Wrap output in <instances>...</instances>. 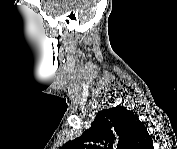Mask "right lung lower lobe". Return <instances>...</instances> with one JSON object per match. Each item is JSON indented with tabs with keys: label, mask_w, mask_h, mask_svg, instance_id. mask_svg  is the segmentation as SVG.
Wrapping results in <instances>:
<instances>
[{
	"label": "right lung lower lobe",
	"mask_w": 177,
	"mask_h": 149,
	"mask_svg": "<svg viewBox=\"0 0 177 149\" xmlns=\"http://www.w3.org/2000/svg\"><path fill=\"white\" fill-rule=\"evenodd\" d=\"M148 146H149V148H152L153 147V143L151 142Z\"/></svg>",
	"instance_id": "obj_1"
}]
</instances>
